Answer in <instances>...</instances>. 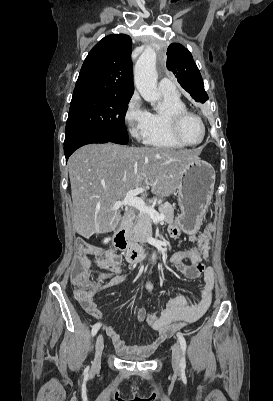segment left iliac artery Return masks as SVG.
Returning a JSON list of instances; mask_svg holds the SVG:
<instances>
[{
    "label": "left iliac artery",
    "mask_w": 273,
    "mask_h": 401,
    "mask_svg": "<svg viewBox=\"0 0 273 401\" xmlns=\"http://www.w3.org/2000/svg\"><path fill=\"white\" fill-rule=\"evenodd\" d=\"M177 337H178V340H179V343H180V346H181V349H182V354H183V356L181 358V362H180V367L182 369H185L186 362H185V356L184 355H185V351H186V340H185V338L183 337V335L181 333H178Z\"/></svg>",
    "instance_id": "obj_1"
}]
</instances>
